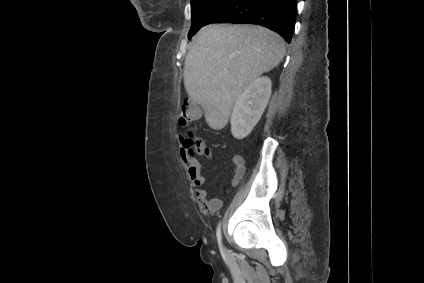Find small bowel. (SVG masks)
Instances as JSON below:
<instances>
[{
	"instance_id": "c3829d8e",
	"label": "small bowel",
	"mask_w": 424,
	"mask_h": 283,
	"mask_svg": "<svg viewBox=\"0 0 424 283\" xmlns=\"http://www.w3.org/2000/svg\"><path fill=\"white\" fill-rule=\"evenodd\" d=\"M180 157L183 162L187 173L196 187L195 196L196 199L210 212H216L222 207V200L218 197L209 198L207 190L202 188L206 182V178L202 173L200 164L189 154L187 147L185 146V139L183 136L179 137ZM234 164V175L231 181V185L237 186L242 180L245 173V161L241 155H235L233 157Z\"/></svg>"
}]
</instances>
